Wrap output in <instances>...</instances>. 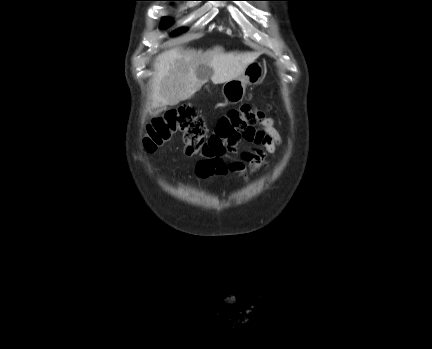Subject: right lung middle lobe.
<instances>
[{
  "instance_id": "right-lung-middle-lobe-1",
  "label": "right lung middle lobe",
  "mask_w": 432,
  "mask_h": 349,
  "mask_svg": "<svg viewBox=\"0 0 432 349\" xmlns=\"http://www.w3.org/2000/svg\"><path fill=\"white\" fill-rule=\"evenodd\" d=\"M170 22H171V20L169 18L165 17V18L162 19V26L166 27L167 25L170 24ZM184 31H185V29L178 30V31L173 32L172 35H178V34L184 32Z\"/></svg>"
}]
</instances>
